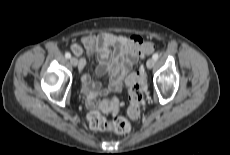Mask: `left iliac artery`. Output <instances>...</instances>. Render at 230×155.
Wrapping results in <instances>:
<instances>
[{
	"label": "left iliac artery",
	"instance_id": "44dca946",
	"mask_svg": "<svg viewBox=\"0 0 230 155\" xmlns=\"http://www.w3.org/2000/svg\"><path fill=\"white\" fill-rule=\"evenodd\" d=\"M152 58H153L154 60H157V59L159 58L158 53L153 54Z\"/></svg>",
	"mask_w": 230,
	"mask_h": 155
}]
</instances>
